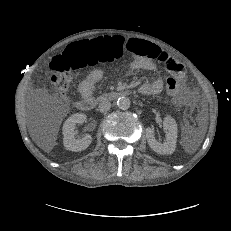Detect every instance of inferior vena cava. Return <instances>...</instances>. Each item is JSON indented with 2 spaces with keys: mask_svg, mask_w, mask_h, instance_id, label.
Returning <instances> with one entry per match:
<instances>
[{
  "mask_svg": "<svg viewBox=\"0 0 231 231\" xmlns=\"http://www.w3.org/2000/svg\"><path fill=\"white\" fill-rule=\"evenodd\" d=\"M111 108V103L108 100H102L99 103L98 110L100 112H106Z\"/></svg>",
  "mask_w": 231,
  "mask_h": 231,
  "instance_id": "602c4592",
  "label": "inferior vena cava"
}]
</instances>
